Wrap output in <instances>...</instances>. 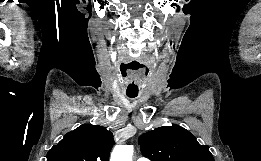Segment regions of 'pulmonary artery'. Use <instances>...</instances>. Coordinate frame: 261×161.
I'll use <instances>...</instances> for the list:
<instances>
[{
	"label": "pulmonary artery",
	"mask_w": 261,
	"mask_h": 161,
	"mask_svg": "<svg viewBox=\"0 0 261 161\" xmlns=\"http://www.w3.org/2000/svg\"><path fill=\"white\" fill-rule=\"evenodd\" d=\"M137 161H150V160L148 158H146V157H139L137 159Z\"/></svg>",
	"instance_id": "obj_1"
}]
</instances>
